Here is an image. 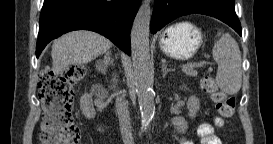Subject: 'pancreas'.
Segmentation results:
<instances>
[{
    "label": "pancreas",
    "instance_id": "pancreas-1",
    "mask_svg": "<svg viewBox=\"0 0 273 144\" xmlns=\"http://www.w3.org/2000/svg\"><path fill=\"white\" fill-rule=\"evenodd\" d=\"M183 71L188 76L195 77L197 75V71L190 69V68H184Z\"/></svg>",
    "mask_w": 273,
    "mask_h": 144
}]
</instances>
